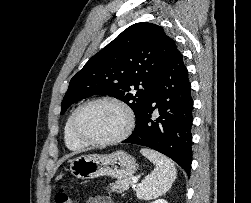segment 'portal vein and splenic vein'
<instances>
[{
	"instance_id": "portal-vein-and-splenic-vein-1",
	"label": "portal vein and splenic vein",
	"mask_w": 251,
	"mask_h": 203,
	"mask_svg": "<svg viewBox=\"0 0 251 203\" xmlns=\"http://www.w3.org/2000/svg\"><path fill=\"white\" fill-rule=\"evenodd\" d=\"M132 181H133V183H137L138 182V178L134 177V178H132Z\"/></svg>"
}]
</instances>
